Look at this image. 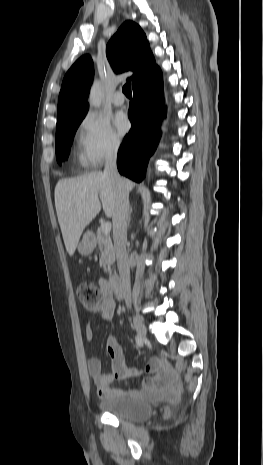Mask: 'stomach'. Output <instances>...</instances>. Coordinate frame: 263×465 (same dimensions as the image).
<instances>
[{"label": "stomach", "instance_id": "1", "mask_svg": "<svg viewBox=\"0 0 263 465\" xmlns=\"http://www.w3.org/2000/svg\"><path fill=\"white\" fill-rule=\"evenodd\" d=\"M96 246V240L91 232H87L83 235L81 241L77 245L78 252L82 256L90 255Z\"/></svg>", "mask_w": 263, "mask_h": 465}]
</instances>
